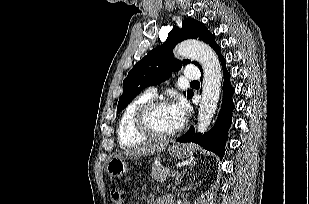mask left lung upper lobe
Listing matches in <instances>:
<instances>
[{"instance_id": "5c2ea615", "label": "left lung upper lobe", "mask_w": 309, "mask_h": 204, "mask_svg": "<svg viewBox=\"0 0 309 204\" xmlns=\"http://www.w3.org/2000/svg\"><path fill=\"white\" fill-rule=\"evenodd\" d=\"M189 38L202 40L209 44L216 53L220 49L214 35L202 22L193 18H185L181 29L174 26L164 44L148 52L130 70L123 81V94L119 99L117 111L123 110L143 89L160 84L171 76L172 71H178L181 68V62L173 58L172 50L177 43ZM190 62L187 59L183 60L184 65ZM192 63L201 69L198 62L192 61ZM184 95L186 96V93ZM187 96L191 98L193 91H187Z\"/></svg>"}]
</instances>
